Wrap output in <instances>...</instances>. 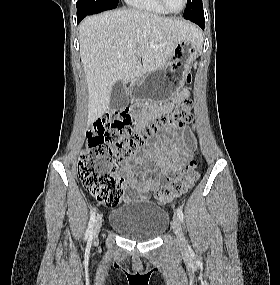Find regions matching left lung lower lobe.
I'll list each match as a JSON object with an SVG mask.
<instances>
[{
	"mask_svg": "<svg viewBox=\"0 0 280 285\" xmlns=\"http://www.w3.org/2000/svg\"><path fill=\"white\" fill-rule=\"evenodd\" d=\"M192 22L198 24L202 29H204V23H205L204 17H201L199 19H193Z\"/></svg>",
	"mask_w": 280,
	"mask_h": 285,
	"instance_id": "0a47b994",
	"label": "left lung lower lobe"
}]
</instances>
